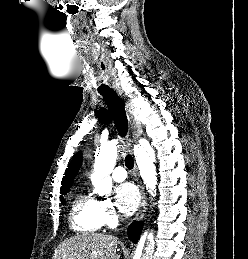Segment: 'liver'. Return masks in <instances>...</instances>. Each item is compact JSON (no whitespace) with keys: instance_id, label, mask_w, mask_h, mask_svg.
I'll list each match as a JSON object with an SVG mask.
<instances>
[{"instance_id":"obj_1","label":"liver","mask_w":248,"mask_h":259,"mask_svg":"<svg viewBox=\"0 0 248 259\" xmlns=\"http://www.w3.org/2000/svg\"><path fill=\"white\" fill-rule=\"evenodd\" d=\"M118 238L105 234H83L64 240L53 259H119Z\"/></svg>"}]
</instances>
